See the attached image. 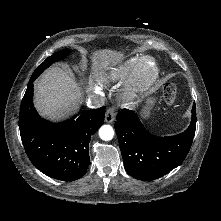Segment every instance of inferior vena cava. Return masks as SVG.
<instances>
[{
	"label": "inferior vena cava",
	"mask_w": 221,
	"mask_h": 221,
	"mask_svg": "<svg viewBox=\"0 0 221 221\" xmlns=\"http://www.w3.org/2000/svg\"><path fill=\"white\" fill-rule=\"evenodd\" d=\"M104 105V98H97L91 96L87 101V106L89 108H99Z\"/></svg>",
	"instance_id": "602c4592"
}]
</instances>
